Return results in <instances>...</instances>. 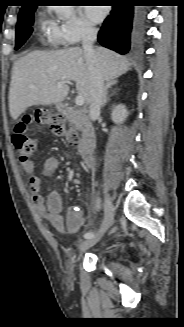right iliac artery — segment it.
<instances>
[{
    "mask_svg": "<svg viewBox=\"0 0 184 327\" xmlns=\"http://www.w3.org/2000/svg\"><path fill=\"white\" fill-rule=\"evenodd\" d=\"M91 237H94V234L92 232H87L84 235V238H86V239L91 238Z\"/></svg>",
    "mask_w": 184,
    "mask_h": 327,
    "instance_id": "right-iliac-artery-1",
    "label": "right iliac artery"
}]
</instances>
